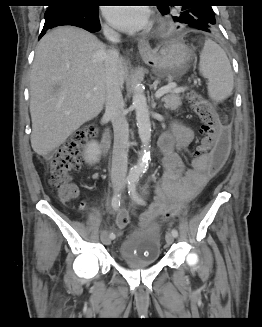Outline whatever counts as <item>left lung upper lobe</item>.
<instances>
[{"instance_id":"left-lung-upper-lobe-1","label":"left lung upper lobe","mask_w":262,"mask_h":327,"mask_svg":"<svg viewBox=\"0 0 262 327\" xmlns=\"http://www.w3.org/2000/svg\"><path fill=\"white\" fill-rule=\"evenodd\" d=\"M181 2L186 3L183 0ZM158 10L163 16L170 18L177 28H190L206 32L216 29L214 12L209 5L184 4L179 7L160 5Z\"/></svg>"}]
</instances>
